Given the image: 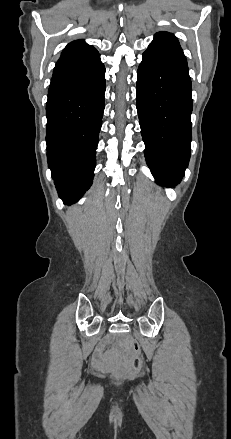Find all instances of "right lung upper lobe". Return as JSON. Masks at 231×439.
<instances>
[{
    "mask_svg": "<svg viewBox=\"0 0 231 439\" xmlns=\"http://www.w3.org/2000/svg\"><path fill=\"white\" fill-rule=\"evenodd\" d=\"M99 56L98 51L84 40L69 43L57 61L53 75L62 74L82 67Z\"/></svg>",
    "mask_w": 231,
    "mask_h": 439,
    "instance_id": "obj_1",
    "label": "right lung upper lobe"
}]
</instances>
